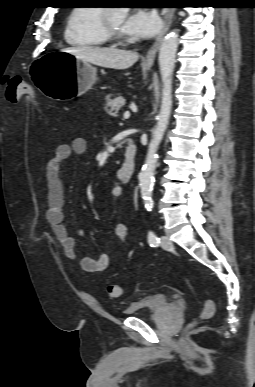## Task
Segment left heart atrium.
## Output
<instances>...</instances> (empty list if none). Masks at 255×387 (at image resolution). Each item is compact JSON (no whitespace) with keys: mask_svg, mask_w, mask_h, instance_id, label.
<instances>
[{"mask_svg":"<svg viewBox=\"0 0 255 387\" xmlns=\"http://www.w3.org/2000/svg\"><path fill=\"white\" fill-rule=\"evenodd\" d=\"M161 27V19L155 11L138 9L125 20L122 31L137 38H151Z\"/></svg>","mask_w":255,"mask_h":387,"instance_id":"1","label":"left heart atrium"}]
</instances>
